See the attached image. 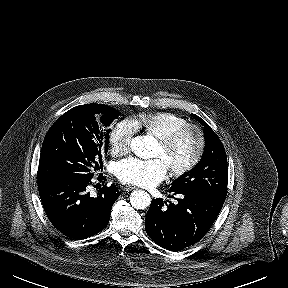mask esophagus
<instances>
[{"instance_id": "1", "label": "esophagus", "mask_w": 288, "mask_h": 288, "mask_svg": "<svg viewBox=\"0 0 288 288\" xmlns=\"http://www.w3.org/2000/svg\"><path fill=\"white\" fill-rule=\"evenodd\" d=\"M136 187H134V186H125V187H123V190L124 191H131V190H133V189H135Z\"/></svg>"}]
</instances>
